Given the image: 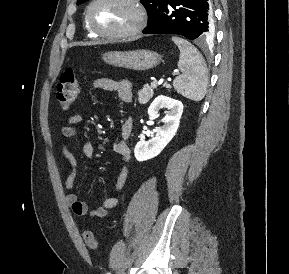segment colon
<instances>
[{
    "label": "colon",
    "mask_w": 289,
    "mask_h": 274,
    "mask_svg": "<svg viewBox=\"0 0 289 274\" xmlns=\"http://www.w3.org/2000/svg\"><path fill=\"white\" fill-rule=\"evenodd\" d=\"M79 92V75L72 69H65L59 78L56 86V99L64 108H69L75 101ZM83 239L87 247L95 249L97 247V238L91 230H85Z\"/></svg>",
    "instance_id": "colon-1"
}]
</instances>
